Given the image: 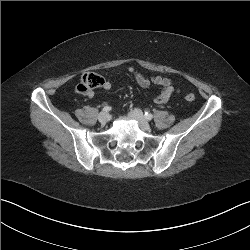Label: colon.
<instances>
[{
	"instance_id": "colon-1",
	"label": "colon",
	"mask_w": 250,
	"mask_h": 250,
	"mask_svg": "<svg viewBox=\"0 0 250 250\" xmlns=\"http://www.w3.org/2000/svg\"><path fill=\"white\" fill-rule=\"evenodd\" d=\"M103 78L92 72H88L82 75L80 82L76 86V91L80 94H86L89 91H92L95 88L102 86ZM187 102H193L195 96L193 94H188L185 96Z\"/></svg>"
}]
</instances>
